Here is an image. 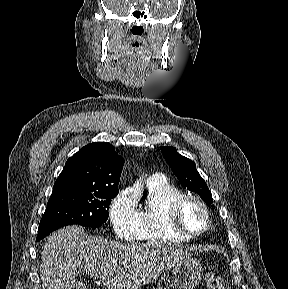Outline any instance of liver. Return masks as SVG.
<instances>
[{"instance_id":"6515ba94","label":"liver","mask_w":288,"mask_h":289,"mask_svg":"<svg viewBox=\"0 0 288 289\" xmlns=\"http://www.w3.org/2000/svg\"><path fill=\"white\" fill-rule=\"evenodd\" d=\"M191 253L162 244H122L85 237L79 226H67L48 236L41 252L42 289H75L76 270L102 277L108 289H139Z\"/></svg>"}]
</instances>
